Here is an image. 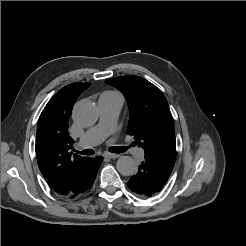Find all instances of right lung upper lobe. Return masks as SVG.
Wrapping results in <instances>:
<instances>
[{
  "mask_svg": "<svg viewBox=\"0 0 246 246\" xmlns=\"http://www.w3.org/2000/svg\"><path fill=\"white\" fill-rule=\"evenodd\" d=\"M90 84L73 83L59 90L38 120L35 145L38 166L50 187L58 194L65 193L88 160V157L72 156L69 151L74 141L69 135L68 126L77 97Z\"/></svg>",
  "mask_w": 246,
  "mask_h": 246,
  "instance_id": "1",
  "label": "right lung upper lobe"
}]
</instances>
